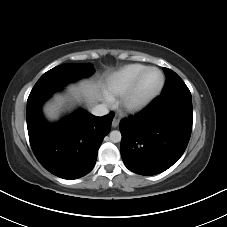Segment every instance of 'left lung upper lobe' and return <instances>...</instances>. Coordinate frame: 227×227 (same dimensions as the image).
Instances as JSON below:
<instances>
[{
    "instance_id": "obj_1",
    "label": "left lung upper lobe",
    "mask_w": 227,
    "mask_h": 227,
    "mask_svg": "<svg viewBox=\"0 0 227 227\" xmlns=\"http://www.w3.org/2000/svg\"><path fill=\"white\" fill-rule=\"evenodd\" d=\"M166 74V83L160 97H187L191 98V93L183 80L172 70L163 68Z\"/></svg>"
}]
</instances>
